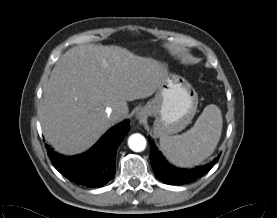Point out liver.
<instances>
[{"label":"liver","instance_id":"liver-1","mask_svg":"<svg viewBox=\"0 0 277 218\" xmlns=\"http://www.w3.org/2000/svg\"><path fill=\"white\" fill-rule=\"evenodd\" d=\"M164 64L125 48L80 45L56 62L39 108L45 139L60 153L90 148L111 125L128 116L127 101L155 93L165 76ZM110 107L121 118H109Z\"/></svg>","mask_w":277,"mask_h":218}]
</instances>
